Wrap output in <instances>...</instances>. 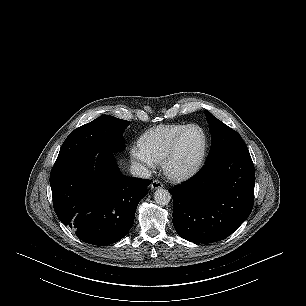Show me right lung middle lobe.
<instances>
[{"label":"right lung middle lobe","instance_id":"1","mask_svg":"<svg viewBox=\"0 0 306 306\" xmlns=\"http://www.w3.org/2000/svg\"><path fill=\"white\" fill-rule=\"evenodd\" d=\"M129 122L110 115L96 118L69 134L55 164L82 153L120 151L125 147L124 130Z\"/></svg>","mask_w":306,"mask_h":306}]
</instances>
